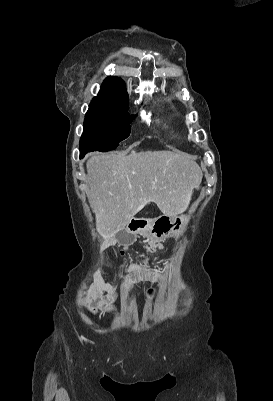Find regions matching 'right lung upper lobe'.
<instances>
[{"mask_svg":"<svg viewBox=\"0 0 273 401\" xmlns=\"http://www.w3.org/2000/svg\"><path fill=\"white\" fill-rule=\"evenodd\" d=\"M92 102L128 107L124 82L118 77H107L99 94L92 99Z\"/></svg>","mask_w":273,"mask_h":401,"instance_id":"right-lung-upper-lobe-1","label":"right lung upper lobe"}]
</instances>
